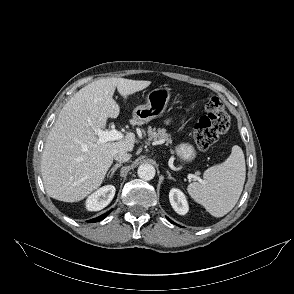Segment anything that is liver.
I'll use <instances>...</instances> for the list:
<instances>
[{"mask_svg": "<svg viewBox=\"0 0 294 294\" xmlns=\"http://www.w3.org/2000/svg\"><path fill=\"white\" fill-rule=\"evenodd\" d=\"M150 81L105 78L80 89L62 108L42 154L41 173L47 194L59 201L78 202L98 189L118 152L134 148L135 135L99 143L93 128H104L120 107L113 99L117 88L124 98L147 88Z\"/></svg>", "mask_w": 294, "mask_h": 294, "instance_id": "obj_1", "label": "liver"}]
</instances>
